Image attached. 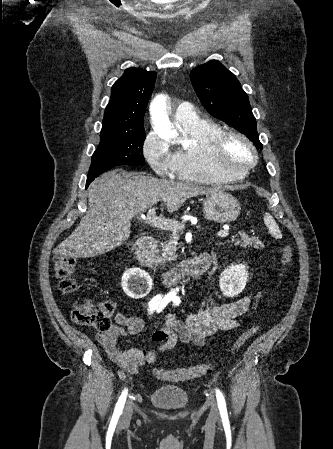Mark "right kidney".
Wrapping results in <instances>:
<instances>
[{"instance_id":"ca27d5eb","label":"right kidney","mask_w":333,"mask_h":449,"mask_svg":"<svg viewBox=\"0 0 333 449\" xmlns=\"http://www.w3.org/2000/svg\"><path fill=\"white\" fill-rule=\"evenodd\" d=\"M122 289L131 298L146 296L152 288V278L140 268H130L122 276Z\"/></svg>"}]
</instances>
